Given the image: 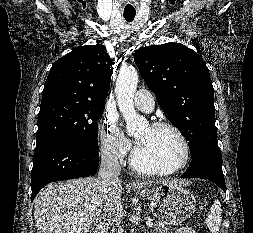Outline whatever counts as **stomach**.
<instances>
[{
	"label": "stomach",
	"mask_w": 253,
	"mask_h": 233,
	"mask_svg": "<svg viewBox=\"0 0 253 233\" xmlns=\"http://www.w3.org/2000/svg\"><path fill=\"white\" fill-rule=\"evenodd\" d=\"M134 190L148 198L151 211L165 224L177 225L195 211V197L180 184L150 186L143 182L140 188Z\"/></svg>",
	"instance_id": "1"
}]
</instances>
